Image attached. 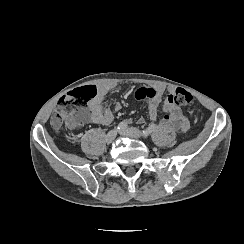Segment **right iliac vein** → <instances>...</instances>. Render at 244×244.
Returning a JSON list of instances; mask_svg holds the SVG:
<instances>
[{
  "label": "right iliac vein",
  "instance_id": "right-iliac-vein-1",
  "mask_svg": "<svg viewBox=\"0 0 244 244\" xmlns=\"http://www.w3.org/2000/svg\"><path fill=\"white\" fill-rule=\"evenodd\" d=\"M117 136V130L116 129H113L111 131L108 132V134L106 135V142L107 143H111Z\"/></svg>",
  "mask_w": 244,
  "mask_h": 244
}]
</instances>
